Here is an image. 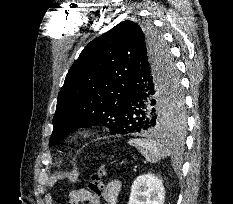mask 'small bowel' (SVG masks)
I'll use <instances>...</instances> for the list:
<instances>
[{"label":"small bowel","mask_w":233,"mask_h":204,"mask_svg":"<svg viewBox=\"0 0 233 204\" xmlns=\"http://www.w3.org/2000/svg\"><path fill=\"white\" fill-rule=\"evenodd\" d=\"M84 194L83 203L85 204H102L100 198L92 199L87 195L85 189H80ZM121 191V182L119 180L110 181L104 188L102 192L103 204H118L119 194ZM82 203V204H83Z\"/></svg>","instance_id":"c3829d8e"}]
</instances>
